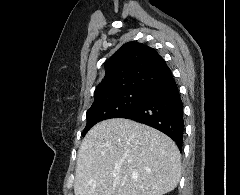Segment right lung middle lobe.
I'll return each mask as SVG.
<instances>
[{
  "mask_svg": "<svg viewBox=\"0 0 240 195\" xmlns=\"http://www.w3.org/2000/svg\"><path fill=\"white\" fill-rule=\"evenodd\" d=\"M146 93L129 90L96 98L87 111V124L83 136L96 123L110 118H119L138 106L145 98Z\"/></svg>",
  "mask_w": 240,
  "mask_h": 195,
  "instance_id": "1",
  "label": "right lung middle lobe"
}]
</instances>
